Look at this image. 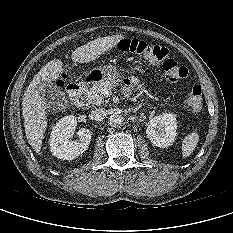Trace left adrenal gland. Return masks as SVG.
I'll use <instances>...</instances> for the list:
<instances>
[{
	"instance_id": "left-adrenal-gland-1",
	"label": "left adrenal gland",
	"mask_w": 233,
	"mask_h": 233,
	"mask_svg": "<svg viewBox=\"0 0 233 233\" xmlns=\"http://www.w3.org/2000/svg\"><path fill=\"white\" fill-rule=\"evenodd\" d=\"M141 106H142V104H140V105L136 108V110L139 109Z\"/></svg>"
}]
</instances>
